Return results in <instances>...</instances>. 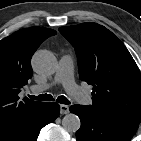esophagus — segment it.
<instances>
[{"label":"esophagus","instance_id":"34e87169","mask_svg":"<svg viewBox=\"0 0 141 141\" xmlns=\"http://www.w3.org/2000/svg\"><path fill=\"white\" fill-rule=\"evenodd\" d=\"M60 113L61 114H68L69 113V106L61 104L60 105Z\"/></svg>","mask_w":141,"mask_h":141}]
</instances>
